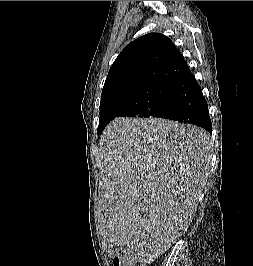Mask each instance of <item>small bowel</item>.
Instances as JSON below:
<instances>
[{"label": "small bowel", "instance_id": "obj_1", "mask_svg": "<svg viewBox=\"0 0 253 266\" xmlns=\"http://www.w3.org/2000/svg\"><path fill=\"white\" fill-rule=\"evenodd\" d=\"M130 253V252H129ZM131 254V253H130ZM131 256H132V258L134 259V261H135V258L133 257V255L131 254Z\"/></svg>", "mask_w": 253, "mask_h": 266}]
</instances>
